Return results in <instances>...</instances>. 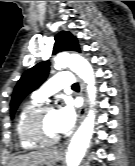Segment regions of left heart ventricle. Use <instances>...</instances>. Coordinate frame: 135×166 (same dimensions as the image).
Listing matches in <instances>:
<instances>
[{
    "instance_id": "b2bd125f",
    "label": "left heart ventricle",
    "mask_w": 135,
    "mask_h": 166,
    "mask_svg": "<svg viewBox=\"0 0 135 166\" xmlns=\"http://www.w3.org/2000/svg\"><path fill=\"white\" fill-rule=\"evenodd\" d=\"M54 115L55 111H51L44 114L40 119L39 128L46 138H53L60 135L56 130Z\"/></svg>"
}]
</instances>
